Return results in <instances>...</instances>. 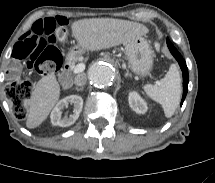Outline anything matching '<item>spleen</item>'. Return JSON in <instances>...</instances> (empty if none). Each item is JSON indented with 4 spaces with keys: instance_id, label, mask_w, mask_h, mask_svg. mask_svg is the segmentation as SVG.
I'll return each instance as SVG.
<instances>
[{
    "instance_id": "spleen-1",
    "label": "spleen",
    "mask_w": 215,
    "mask_h": 183,
    "mask_svg": "<svg viewBox=\"0 0 215 183\" xmlns=\"http://www.w3.org/2000/svg\"><path fill=\"white\" fill-rule=\"evenodd\" d=\"M144 90L151 99L161 104L165 116L171 117L181 98V78L177 66L172 64L160 81L145 85Z\"/></svg>"
}]
</instances>
